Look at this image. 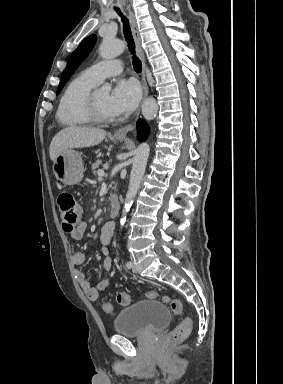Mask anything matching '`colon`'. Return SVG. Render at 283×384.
<instances>
[{
	"mask_svg": "<svg viewBox=\"0 0 283 384\" xmlns=\"http://www.w3.org/2000/svg\"><path fill=\"white\" fill-rule=\"evenodd\" d=\"M57 204L60 211L62 227L66 232H72L81 220V212L74 196L69 192H61L57 198ZM148 299H157L161 297L171 311L178 316L184 314V307L179 299L168 295H160L156 290H150L146 293ZM130 295L126 292H120L116 296V301L120 305H127L130 302ZM102 309L106 313L113 312V305L110 302H103ZM192 328V320L184 318L169 334L163 339L165 347L173 346L183 341L190 333Z\"/></svg>",
	"mask_w": 283,
	"mask_h": 384,
	"instance_id": "obj_1",
	"label": "colon"
}]
</instances>
